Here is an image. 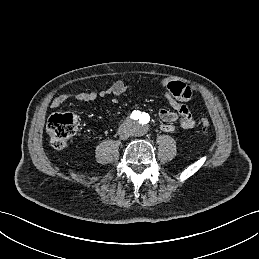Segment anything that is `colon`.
Masks as SVG:
<instances>
[{
  "instance_id": "colon-1",
  "label": "colon",
  "mask_w": 259,
  "mask_h": 259,
  "mask_svg": "<svg viewBox=\"0 0 259 259\" xmlns=\"http://www.w3.org/2000/svg\"><path fill=\"white\" fill-rule=\"evenodd\" d=\"M200 126L203 131H207L210 127L209 119L202 118ZM77 127L78 118L72 113L51 116L46 128L51 146L57 150L66 148L76 133Z\"/></svg>"
}]
</instances>
